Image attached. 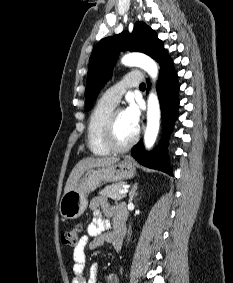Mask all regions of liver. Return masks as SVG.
Here are the masks:
<instances>
[{
    "mask_svg": "<svg viewBox=\"0 0 233 283\" xmlns=\"http://www.w3.org/2000/svg\"><path fill=\"white\" fill-rule=\"evenodd\" d=\"M120 158L118 157H103V158H95V157H87L80 160L73 170L71 171L69 178L66 182L64 188V194L72 190L80 178L82 177L83 173L89 168L95 167H104L109 166L112 164H116Z\"/></svg>",
    "mask_w": 233,
    "mask_h": 283,
    "instance_id": "liver-1",
    "label": "liver"
}]
</instances>
